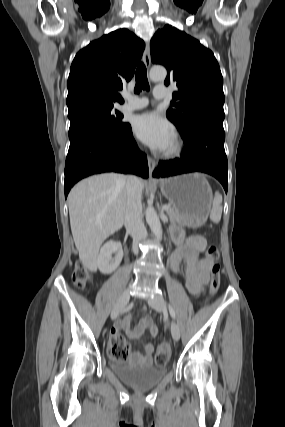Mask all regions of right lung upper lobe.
<instances>
[{
  "mask_svg": "<svg viewBox=\"0 0 285 427\" xmlns=\"http://www.w3.org/2000/svg\"><path fill=\"white\" fill-rule=\"evenodd\" d=\"M145 44L127 29H119L80 50L67 82L68 115L90 106L123 103L118 90L134 75Z\"/></svg>",
  "mask_w": 285,
  "mask_h": 427,
  "instance_id": "obj_1",
  "label": "right lung upper lobe"
}]
</instances>
